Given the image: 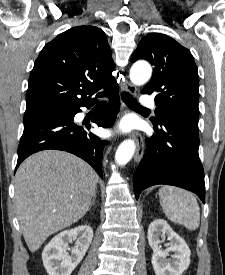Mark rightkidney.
I'll return each instance as SVG.
<instances>
[{
	"instance_id": "1",
	"label": "right kidney",
	"mask_w": 225,
	"mask_h": 275,
	"mask_svg": "<svg viewBox=\"0 0 225 275\" xmlns=\"http://www.w3.org/2000/svg\"><path fill=\"white\" fill-rule=\"evenodd\" d=\"M93 238L90 226L83 225L56 235L44 248L42 260L49 275H70L81 262ZM76 240L68 255V243Z\"/></svg>"
}]
</instances>
